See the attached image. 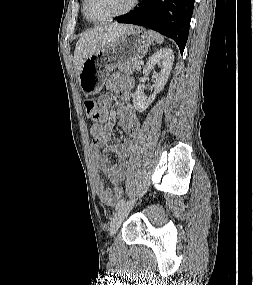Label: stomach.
Returning a JSON list of instances; mask_svg holds the SVG:
<instances>
[{"label":"stomach","mask_w":253,"mask_h":285,"mask_svg":"<svg viewBox=\"0 0 253 285\" xmlns=\"http://www.w3.org/2000/svg\"><path fill=\"white\" fill-rule=\"evenodd\" d=\"M153 38L149 31L133 26L105 48L85 59L79 73L78 84L86 95L101 91L110 72L120 66L139 62Z\"/></svg>","instance_id":"stomach-1"}]
</instances>
